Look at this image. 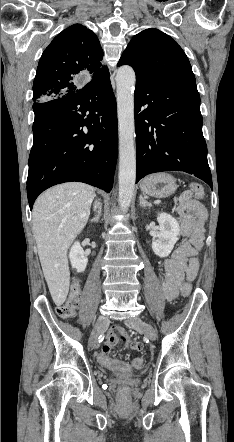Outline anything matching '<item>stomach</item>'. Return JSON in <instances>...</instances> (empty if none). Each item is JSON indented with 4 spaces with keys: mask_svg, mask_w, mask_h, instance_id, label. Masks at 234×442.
<instances>
[{
    "mask_svg": "<svg viewBox=\"0 0 234 442\" xmlns=\"http://www.w3.org/2000/svg\"><path fill=\"white\" fill-rule=\"evenodd\" d=\"M176 179L168 173H155L144 178L140 184L143 193L156 197L166 198L177 189Z\"/></svg>",
    "mask_w": 234,
    "mask_h": 442,
    "instance_id": "stomach-1",
    "label": "stomach"
}]
</instances>
